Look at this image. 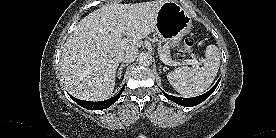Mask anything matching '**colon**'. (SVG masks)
<instances>
[{"mask_svg": "<svg viewBox=\"0 0 276 138\" xmlns=\"http://www.w3.org/2000/svg\"><path fill=\"white\" fill-rule=\"evenodd\" d=\"M193 45V40L190 38H186L177 52V57L181 59L187 56L191 52Z\"/></svg>", "mask_w": 276, "mask_h": 138, "instance_id": "colon-1", "label": "colon"}]
</instances>
